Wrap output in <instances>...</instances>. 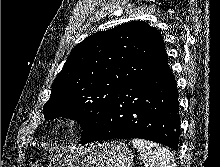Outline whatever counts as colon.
Returning <instances> with one entry per match:
<instances>
[{"label":"colon","instance_id":"5ec220e1","mask_svg":"<svg viewBox=\"0 0 220 167\" xmlns=\"http://www.w3.org/2000/svg\"><path fill=\"white\" fill-rule=\"evenodd\" d=\"M35 167H44V166L39 164V165H36Z\"/></svg>","mask_w":220,"mask_h":167}]
</instances>
